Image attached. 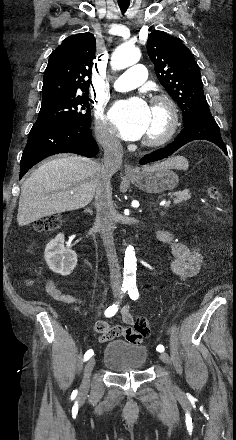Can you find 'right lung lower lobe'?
Segmentation results:
<instances>
[{"instance_id":"98d812e1","label":"right lung lower lobe","mask_w":236,"mask_h":440,"mask_svg":"<svg viewBox=\"0 0 236 440\" xmlns=\"http://www.w3.org/2000/svg\"><path fill=\"white\" fill-rule=\"evenodd\" d=\"M76 153L94 157L98 145L90 127L58 122H35L20 162V179L35 164L58 153Z\"/></svg>"}]
</instances>
